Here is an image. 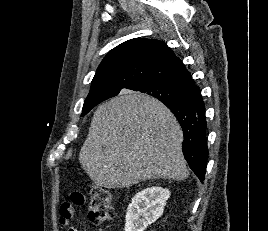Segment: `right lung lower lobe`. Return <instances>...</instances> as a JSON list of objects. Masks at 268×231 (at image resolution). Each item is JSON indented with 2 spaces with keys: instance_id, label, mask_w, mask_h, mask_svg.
<instances>
[{
  "instance_id": "right-lung-lower-lobe-1",
  "label": "right lung lower lobe",
  "mask_w": 268,
  "mask_h": 231,
  "mask_svg": "<svg viewBox=\"0 0 268 231\" xmlns=\"http://www.w3.org/2000/svg\"><path fill=\"white\" fill-rule=\"evenodd\" d=\"M178 119L184 133L183 154L201 182L205 178L208 148L206 139L205 105L200 89L187 102L164 103Z\"/></svg>"
}]
</instances>
